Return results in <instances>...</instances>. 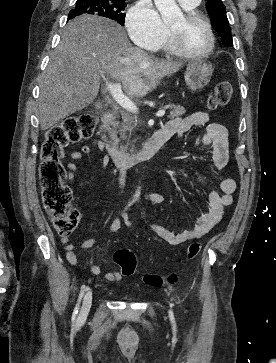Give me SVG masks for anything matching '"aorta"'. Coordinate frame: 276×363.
Returning <instances> with one entry per match:
<instances>
[{
	"instance_id": "1",
	"label": "aorta",
	"mask_w": 276,
	"mask_h": 363,
	"mask_svg": "<svg viewBox=\"0 0 276 363\" xmlns=\"http://www.w3.org/2000/svg\"><path fill=\"white\" fill-rule=\"evenodd\" d=\"M154 3L161 14V18L165 24L173 23L183 17L181 9L176 4L175 0H154ZM140 195L139 189L135 197Z\"/></svg>"
}]
</instances>
